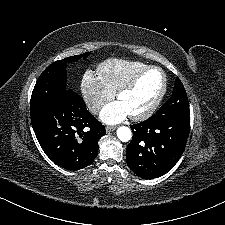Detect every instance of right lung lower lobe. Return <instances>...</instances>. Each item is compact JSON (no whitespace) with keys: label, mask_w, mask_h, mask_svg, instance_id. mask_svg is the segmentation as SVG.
Segmentation results:
<instances>
[{"label":"right lung lower lobe","mask_w":225,"mask_h":225,"mask_svg":"<svg viewBox=\"0 0 225 225\" xmlns=\"http://www.w3.org/2000/svg\"><path fill=\"white\" fill-rule=\"evenodd\" d=\"M31 123L45 154L67 170L90 165L98 154L102 125L73 91L30 110Z\"/></svg>","instance_id":"obj_1"}]
</instances>
